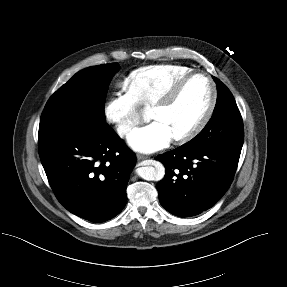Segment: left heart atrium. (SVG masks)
<instances>
[{"instance_id": "left-heart-atrium-1", "label": "left heart atrium", "mask_w": 287, "mask_h": 287, "mask_svg": "<svg viewBox=\"0 0 287 287\" xmlns=\"http://www.w3.org/2000/svg\"><path fill=\"white\" fill-rule=\"evenodd\" d=\"M172 134L160 121L151 123L135 129L128 138L129 145L141 152H154L165 148L171 141Z\"/></svg>"}]
</instances>
